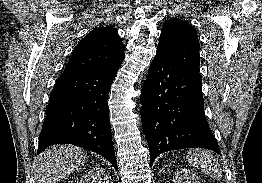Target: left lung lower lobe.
<instances>
[{"label": "left lung lower lobe", "instance_id": "obj_1", "mask_svg": "<svg viewBox=\"0 0 262 183\" xmlns=\"http://www.w3.org/2000/svg\"><path fill=\"white\" fill-rule=\"evenodd\" d=\"M140 103L151 165L168 150L199 147L221 155L204 114L198 71L156 55L144 82Z\"/></svg>", "mask_w": 262, "mask_h": 183}]
</instances>
